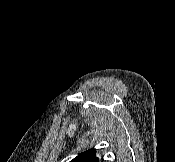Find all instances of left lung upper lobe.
<instances>
[{"label":"left lung upper lobe","mask_w":175,"mask_h":162,"mask_svg":"<svg viewBox=\"0 0 175 162\" xmlns=\"http://www.w3.org/2000/svg\"><path fill=\"white\" fill-rule=\"evenodd\" d=\"M95 154V149H89L79 154L77 157L71 160V162H99V159L95 156Z\"/></svg>","instance_id":"left-lung-upper-lobe-1"}]
</instances>
